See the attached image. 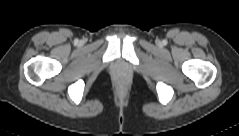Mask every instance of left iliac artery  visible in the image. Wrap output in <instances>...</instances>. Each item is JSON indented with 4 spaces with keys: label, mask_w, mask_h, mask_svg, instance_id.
Segmentation results:
<instances>
[{
    "label": "left iliac artery",
    "mask_w": 239,
    "mask_h": 136,
    "mask_svg": "<svg viewBox=\"0 0 239 136\" xmlns=\"http://www.w3.org/2000/svg\"><path fill=\"white\" fill-rule=\"evenodd\" d=\"M163 43H164V44H167V41H166V40H164V41H163Z\"/></svg>",
    "instance_id": "obj_1"
}]
</instances>
